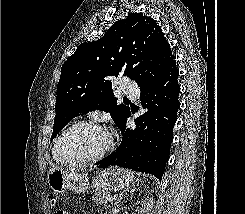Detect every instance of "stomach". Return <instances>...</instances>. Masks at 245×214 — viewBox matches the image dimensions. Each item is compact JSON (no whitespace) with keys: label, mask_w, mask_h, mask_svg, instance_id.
Listing matches in <instances>:
<instances>
[{"label":"stomach","mask_w":245,"mask_h":214,"mask_svg":"<svg viewBox=\"0 0 245 214\" xmlns=\"http://www.w3.org/2000/svg\"><path fill=\"white\" fill-rule=\"evenodd\" d=\"M134 180V176L129 171L111 167L102 170L94 177L93 187L100 191H119L128 187ZM47 184L56 194L66 190L85 193L89 188V179L76 171L52 167L47 174Z\"/></svg>","instance_id":"1"}]
</instances>
